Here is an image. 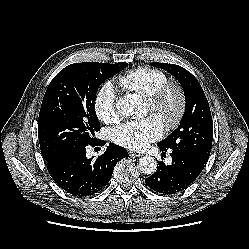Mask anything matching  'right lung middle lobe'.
Masks as SVG:
<instances>
[{"mask_svg":"<svg viewBox=\"0 0 249 249\" xmlns=\"http://www.w3.org/2000/svg\"><path fill=\"white\" fill-rule=\"evenodd\" d=\"M127 66L124 62L75 63L53 78L38 119L39 143L46 161L94 143L93 135L100 130L95 112L98 88Z\"/></svg>","mask_w":249,"mask_h":249,"instance_id":"dd1d6c3e","label":"right lung middle lobe"}]
</instances>
